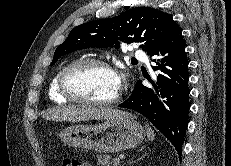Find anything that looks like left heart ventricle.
<instances>
[{"instance_id":"obj_1","label":"left heart ventricle","mask_w":231,"mask_h":166,"mask_svg":"<svg viewBox=\"0 0 231 166\" xmlns=\"http://www.w3.org/2000/svg\"><path fill=\"white\" fill-rule=\"evenodd\" d=\"M68 84L77 95L93 100H108L119 88L116 74L97 65L76 69L69 76Z\"/></svg>"}]
</instances>
